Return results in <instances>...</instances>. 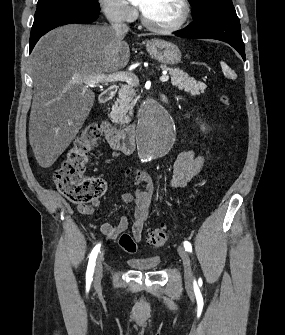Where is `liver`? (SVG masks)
<instances>
[{
  "label": "liver",
  "instance_id": "6515ba94",
  "mask_svg": "<svg viewBox=\"0 0 285 335\" xmlns=\"http://www.w3.org/2000/svg\"><path fill=\"white\" fill-rule=\"evenodd\" d=\"M124 36L111 26L69 24L36 44L31 54L29 142L41 168L58 160L92 110L95 94L78 78L114 74L127 66L130 50Z\"/></svg>",
  "mask_w": 285,
  "mask_h": 335
}]
</instances>
